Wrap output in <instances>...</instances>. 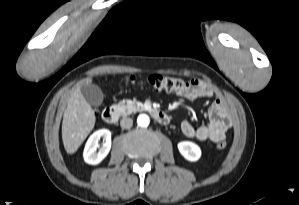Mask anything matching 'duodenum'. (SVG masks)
Listing matches in <instances>:
<instances>
[{"mask_svg":"<svg viewBox=\"0 0 299 205\" xmlns=\"http://www.w3.org/2000/svg\"><path fill=\"white\" fill-rule=\"evenodd\" d=\"M152 117L160 124H168L170 121L169 115L158 109H149ZM102 118L109 124L116 123L120 118V110L117 107H106L102 112Z\"/></svg>","mask_w":299,"mask_h":205,"instance_id":"1","label":"duodenum"}]
</instances>
